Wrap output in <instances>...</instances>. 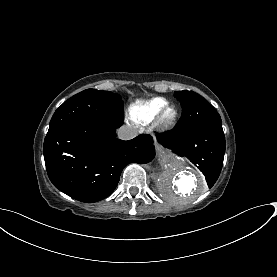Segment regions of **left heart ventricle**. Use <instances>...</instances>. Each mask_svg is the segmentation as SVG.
Returning a JSON list of instances; mask_svg holds the SVG:
<instances>
[{"mask_svg":"<svg viewBox=\"0 0 277 277\" xmlns=\"http://www.w3.org/2000/svg\"><path fill=\"white\" fill-rule=\"evenodd\" d=\"M172 115H173V110L170 109V110H168V111L166 112L165 118H166V119H170V118L172 117Z\"/></svg>","mask_w":277,"mask_h":277,"instance_id":"b2bd125f","label":"left heart ventricle"}]
</instances>
